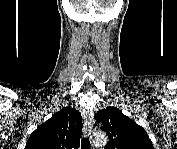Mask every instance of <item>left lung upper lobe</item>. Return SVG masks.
Instances as JSON below:
<instances>
[{
  "label": "left lung upper lobe",
  "mask_w": 177,
  "mask_h": 149,
  "mask_svg": "<svg viewBox=\"0 0 177 149\" xmlns=\"http://www.w3.org/2000/svg\"><path fill=\"white\" fill-rule=\"evenodd\" d=\"M95 118L109 138L105 149H154L144 128L116 107L99 111Z\"/></svg>",
  "instance_id": "5c2ea615"
}]
</instances>
